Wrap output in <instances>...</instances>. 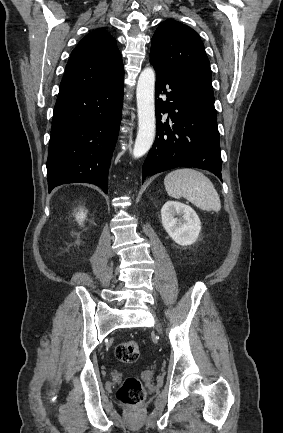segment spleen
Returning <instances> with one entry per match:
<instances>
[{"instance_id": "spleen-1", "label": "spleen", "mask_w": 283, "mask_h": 433, "mask_svg": "<svg viewBox=\"0 0 283 433\" xmlns=\"http://www.w3.org/2000/svg\"><path fill=\"white\" fill-rule=\"evenodd\" d=\"M165 188L173 198H187L202 210H220L221 202L211 180L194 168H177L166 174Z\"/></svg>"}]
</instances>
